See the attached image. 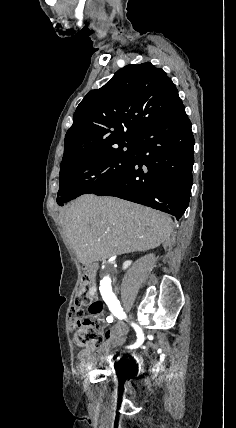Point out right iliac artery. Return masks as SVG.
I'll use <instances>...</instances> for the list:
<instances>
[{"mask_svg":"<svg viewBox=\"0 0 236 428\" xmlns=\"http://www.w3.org/2000/svg\"><path fill=\"white\" fill-rule=\"evenodd\" d=\"M103 300L106 302V304L109 307V310L116 316L118 319H126V314L123 312V308L120 305L119 300H117V297L113 292H101ZM132 326L134 327L136 333H137V342L134 345L129 346L130 349L138 348L143 342H144V334L142 329L132 323Z\"/></svg>","mask_w":236,"mask_h":428,"instance_id":"right-iliac-artery-1","label":"right iliac artery"}]
</instances>
